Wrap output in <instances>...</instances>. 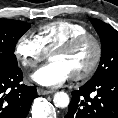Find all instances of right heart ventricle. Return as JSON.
I'll return each instance as SVG.
<instances>
[{"instance_id":"obj_1","label":"right heart ventricle","mask_w":118,"mask_h":118,"mask_svg":"<svg viewBox=\"0 0 118 118\" xmlns=\"http://www.w3.org/2000/svg\"><path fill=\"white\" fill-rule=\"evenodd\" d=\"M86 32V27L81 23L57 20L39 27L36 38L45 52L51 53L56 47L67 40Z\"/></svg>"}]
</instances>
